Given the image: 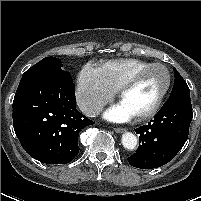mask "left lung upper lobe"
<instances>
[{
	"label": "left lung upper lobe",
	"instance_id": "1",
	"mask_svg": "<svg viewBox=\"0 0 201 201\" xmlns=\"http://www.w3.org/2000/svg\"><path fill=\"white\" fill-rule=\"evenodd\" d=\"M173 70H174L175 82L170 96L179 93L190 92L185 80L182 78L179 72L175 68H173Z\"/></svg>",
	"mask_w": 201,
	"mask_h": 201
}]
</instances>
